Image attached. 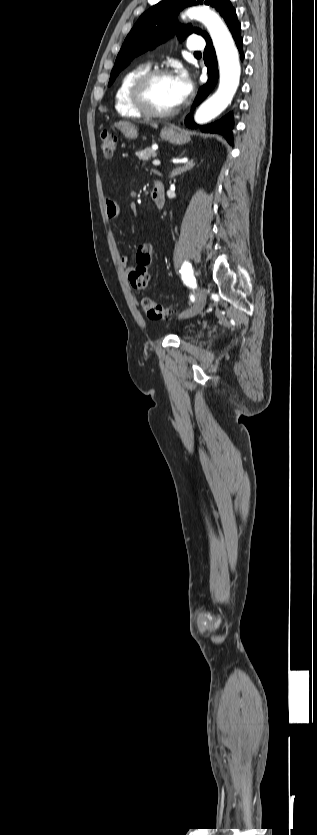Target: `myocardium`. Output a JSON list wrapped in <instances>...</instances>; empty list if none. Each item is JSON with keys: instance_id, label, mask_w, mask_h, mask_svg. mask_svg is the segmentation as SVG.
I'll return each mask as SVG.
<instances>
[{"instance_id": "obj_1", "label": "myocardium", "mask_w": 317, "mask_h": 835, "mask_svg": "<svg viewBox=\"0 0 317 835\" xmlns=\"http://www.w3.org/2000/svg\"><path fill=\"white\" fill-rule=\"evenodd\" d=\"M162 77H171V73L162 68L157 69H149L141 76H139L135 82L133 83L131 90H130V97L133 105L139 110L144 116L150 118H167L175 115L178 110L179 106H175L172 109L161 111L157 110L149 100V90L153 84V82Z\"/></svg>"}]
</instances>
